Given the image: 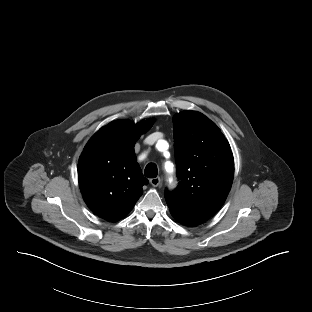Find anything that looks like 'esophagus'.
<instances>
[{
  "instance_id": "esophagus-1",
  "label": "esophagus",
  "mask_w": 312,
  "mask_h": 312,
  "mask_svg": "<svg viewBox=\"0 0 312 312\" xmlns=\"http://www.w3.org/2000/svg\"><path fill=\"white\" fill-rule=\"evenodd\" d=\"M161 180L159 177L151 178L150 183L152 186L157 187L160 184Z\"/></svg>"
}]
</instances>
